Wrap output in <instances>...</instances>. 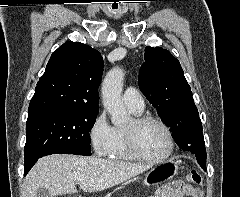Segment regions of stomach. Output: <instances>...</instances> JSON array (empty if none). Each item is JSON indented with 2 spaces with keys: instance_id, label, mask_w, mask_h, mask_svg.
I'll return each mask as SVG.
<instances>
[{
  "instance_id": "1",
  "label": "stomach",
  "mask_w": 240,
  "mask_h": 197,
  "mask_svg": "<svg viewBox=\"0 0 240 197\" xmlns=\"http://www.w3.org/2000/svg\"><path fill=\"white\" fill-rule=\"evenodd\" d=\"M178 171V162L171 161L166 164L152 168L144 178V185L154 186L169 180L175 176Z\"/></svg>"
}]
</instances>
